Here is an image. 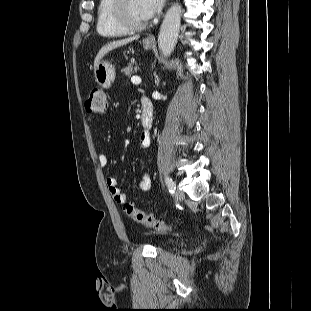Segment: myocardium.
Segmentation results:
<instances>
[{"label": "myocardium", "instance_id": "myocardium-1", "mask_svg": "<svg viewBox=\"0 0 311 311\" xmlns=\"http://www.w3.org/2000/svg\"><path fill=\"white\" fill-rule=\"evenodd\" d=\"M127 2L128 0H112L111 13L113 18L128 32L144 30L148 26V21L142 23L132 22L127 14Z\"/></svg>", "mask_w": 311, "mask_h": 311}]
</instances>
